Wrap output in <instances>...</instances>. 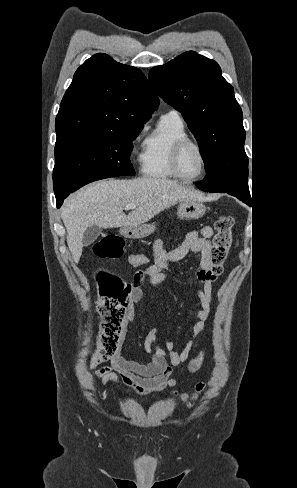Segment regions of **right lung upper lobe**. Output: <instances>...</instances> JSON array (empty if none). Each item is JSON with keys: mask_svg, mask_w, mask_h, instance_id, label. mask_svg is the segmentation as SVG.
<instances>
[{"mask_svg": "<svg viewBox=\"0 0 297 488\" xmlns=\"http://www.w3.org/2000/svg\"><path fill=\"white\" fill-rule=\"evenodd\" d=\"M158 105L141 70L98 53L74 74L56 116V134L137 127Z\"/></svg>", "mask_w": 297, "mask_h": 488, "instance_id": "1", "label": "right lung upper lobe"}]
</instances>
